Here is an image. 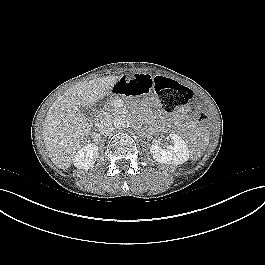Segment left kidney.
I'll return each mask as SVG.
<instances>
[{
  "instance_id": "left-kidney-1",
  "label": "left kidney",
  "mask_w": 265,
  "mask_h": 265,
  "mask_svg": "<svg viewBox=\"0 0 265 265\" xmlns=\"http://www.w3.org/2000/svg\"><path fill=\"white\" fill-rule=\"evenodd\" d=\"M171 145L163 147L154 143L150 147L153 159L162 164L180 165L189 159V149L185 141L177 134H170Z\"/></svg>"
}]
</instances>
